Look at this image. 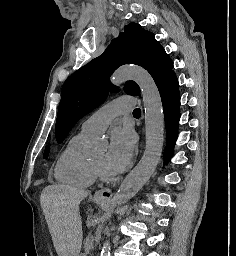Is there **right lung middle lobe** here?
<instances>
[{"label":"right lung middle lobe","mask_w":236,"mask_h":256,"mask_svg":"<svg viewBox=\"0 0 236 256\" xmlns=\"http://www.w3.org/2000/svg\"><path fill=\"white\" fill-rule=\"evenodd\" d=\"M49 151H50V147H49V146H46L45 151H44L43 158H47V157H48Z\"/></svg>","instance_id":"obj_1"}]
</instances>
